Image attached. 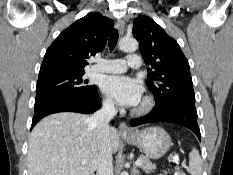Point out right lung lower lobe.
Wrapping results in <instances>:
<instances>
[{"label":"right lung lower lobe","instance_id":"obj_1","mask_svg":"<svg viewBox=\"0 0 233 175\" xmlns=\"http://www.w3.org/2000/svg\"><path fill=\"white\" fill-rule=\"evenodd\" d=\"M101 107L97 90L85 96H52L35 101L31 128L43 117L58 112L93 113Z\"/></svg>","mask_w":233,"mask_h":175}]
</instances>
